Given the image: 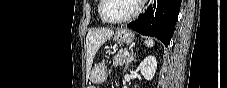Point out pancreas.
Returning a JSON list of instances; mask_svg holds the SVG:
<instances>
[{
  "instance_id": "obj_1",
  "label": "pancreas",
  "mask_w": 227,
  "mask_h": 88,
  "mask_svg": "<svg viewBox=\"0 0 227 88\" xmlns=\"http://www.w3.org/2000/svg\"><path fill=\"white\" fill-rule=\"evenodd\" d=\"M125 50L119 51L114 57H113V65L114 66H123L126 60V56H124Z\"/></svg>"
}]
</instances>
